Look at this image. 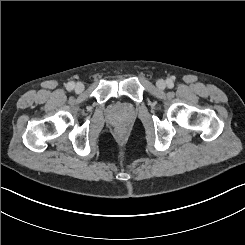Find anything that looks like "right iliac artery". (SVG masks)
<instances>
[{"instance_id": "obj_1", "label": "right iliac artery", "mask_w": 245, "mask_h": 245, "mask_svg": "<svg viewBox=\"0 0 245 245\" xmlns=\"http://www.w3.org/2000/svg\"><path fill=\"white\" fill-rule=\"evenodd\" d=\"M74 87H75L74 82H69V83L67 84V89H68V90H72Z\"/></svg>"}]
</instances>
